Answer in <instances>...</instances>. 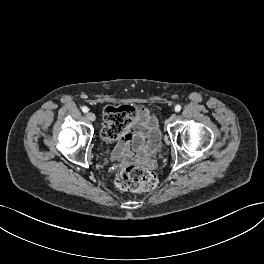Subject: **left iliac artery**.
<instances>
[{"mask_svg": "<svg viewBox=\"0 0 264 264\" xmlns=\"http://www.w3.org/2000/svg\"><path fill=\"white\" fill-rule=\"evenodd\" d=\"M181 110V106L180 105H176L175 106V112H179Z\"/></svg>", "mask_w": 264, "mask_h": 264, "instance_id": "obj_1", "label": "left iliac artery"}]
</instances>
